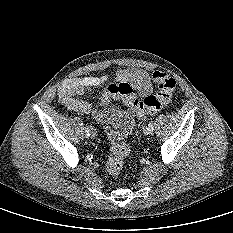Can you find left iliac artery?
<instances>
[{
  "instance_id": "1",
  "label": "left iliac artery",
  "mask_w": 233,
  "mask_h": 233,
  "mask_svg": "<svg viewBox=\"0 0 233 233\" xmlns=\"http://www.w3.org/2000/svg\"><path fill=\"white\" fill-rule=\"evenodd\" d=\"M149 131H150V133L152 134V132H153V124H152V121H150L149 122V124H148V126L146 127Z\"/></svg>"
}]
</instances>
